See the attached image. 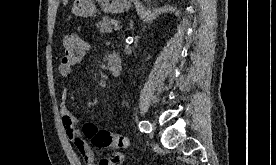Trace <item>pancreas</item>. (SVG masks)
Listing matches in <instances>:
<instances>
[{
	"label": "pancreas",
	"mask_w": 276,
	"mask_h": 165,
	"mask_svg": "<svg viewBox=\"0 0 276 165\" xmlns=\"http://www.w3.org/2000/svg\"><path fill=\"white\" fill-rule=\"evenodd\" d=\"M112 24H113V20H111L107 16H104L102 18V21H99L96 23V26L98 29H100V32H102V33H111L112 32Z\"/></svg>",
	"instance_id": "1"
}]
</instances>
